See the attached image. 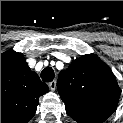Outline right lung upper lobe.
I'll list each match as a JSON object with an SVG mask.
<instances>
[{
	"label": "right lung upper lobe",
	"instance_id": "1",
	"mask_svg": "<svg viewBox=\"0 0 123 123\" xmlns=\"http://www.w3.org/2000/svg\"><path fill=\"white\" fill-rule=\"evenodd\" d=\"M48 86L31 71L22 53L1 54V123H27Z\"/></svg>",
	"mask_w": 123,
	"mask_h": 123
}]
</instances>
